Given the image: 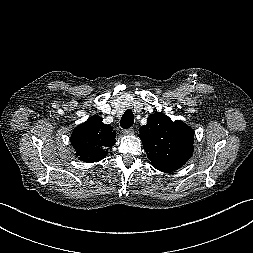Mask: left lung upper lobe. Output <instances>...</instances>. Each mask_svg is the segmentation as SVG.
I'll return each instance as SVG.
<instances>
[{"label":"left lung upper lobe","mask_w":253,"mask_h":253,"mask_svg":"<svg viewBox=\"0 0 253 253\" xmlns=\"http://www.w3.org/2000/svg\"><path fill=\"white\" fill-rule=\"evenodd\" d=\"M139 133L151 165L159 171L179 169L193 153V129L180 120L172 121L163 113L150 115Z\"/></svg>","instance_id":"1"}]
</instances>
